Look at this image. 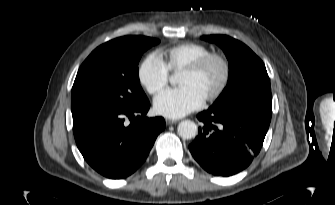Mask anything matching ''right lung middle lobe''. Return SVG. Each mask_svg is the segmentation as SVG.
<instances>
[{
  "label": "right lung middle lobe",
  "instance_id": "obj_1",
  "mask_svg": "<svg viewBox=\"0 0 335 205\" xmlns=\"http://www.w3.org/2000/svg\"><path fill=\"white\" fill-rule=\"evenodd\" d=\"M158 39L124 36L97 47L80 66L71 92V111L119 110L147 99L139 83L138 63Z\"/></svg>",
  "mask_w": 335,
  "mask_h": 205
}]
</instances>
